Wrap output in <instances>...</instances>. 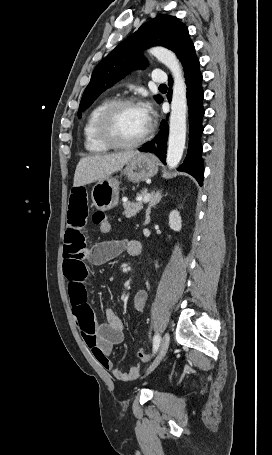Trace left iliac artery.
<instances>
[{"label": "left iliac artery", "mask_w": 272, "mask_h": 455, "mask_svg": "<svg viewBox=\"0 0 272 455\" xmlns=\"http://www.w3.org/2000/svg\"><path fill=\"white\" fill-rule=\"evenodd\" d=\"M160 335L156 334L153 338V352L156 353L160 344Z\"/></svg>", "instance_id": "left-iliac-artery-1"}]
</instances>
